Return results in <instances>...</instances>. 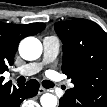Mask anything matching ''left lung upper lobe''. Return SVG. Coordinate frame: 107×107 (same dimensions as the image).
Here are the masks:
<instances>
[{
	"label": "left lung upper lobe",
	"mask_w": 107,
	"mask_h": 107,
	"mask_svg": "<svg viewBox=\"0 0 107 107\" xmlns=\"http://www.w3.org/2000/svg\"><path fill=\"white\" fill-rule=\"evenodd\" d=\"M63 42L62 71L83 96L107 95V34L95 22L75 19L57 22Z\"/></svg>",
	"instance_id": "1"
}]
</instances>
